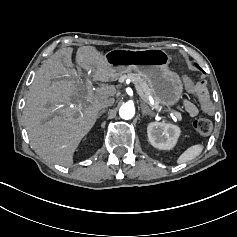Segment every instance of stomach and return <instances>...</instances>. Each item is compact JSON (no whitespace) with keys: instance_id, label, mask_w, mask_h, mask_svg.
I'll use <instances>...</instances> for the list:
<instances>
[{"instance_id":"stomach-1","label":"stomach","mask_w":237,"mask_h":237,"mask_svg":"<svg viewBox=\"0 0 237 237\" xmlns=\"http://www.w3.org/2000/svg\"><path fill=\"white\" fill-rule=\"evenodd\" d=\"M114 77L135 71L149 85L156 101L166 110L172 109L182 98L183 81L177 72L169 69L170 58L162 48H116L105 55Z\"/></svg>"}]
</instances>
